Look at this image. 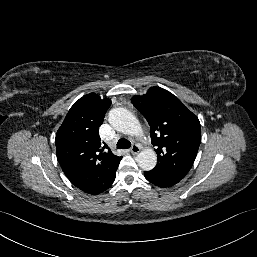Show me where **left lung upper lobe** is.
<instances>
[{
	"mask_svg": "<svg viewBox=\"0 0 257 257\" xmlns=\"http://www.w3.org/2000/svg\"><path fill=\"white\" fill-rule=\"evenodd\" d=\"M132 104L150 125L151 140L158 155L154 170L183 179L196 158L201 143L198 117L172 93L151 87L143 95H135Z\"/></svg>",
	"mask_w": 257,
	"mask_h": 257,
	"instance_id": "obj_1",
	"label": "left lung upper lobe"
}]
</instances>
